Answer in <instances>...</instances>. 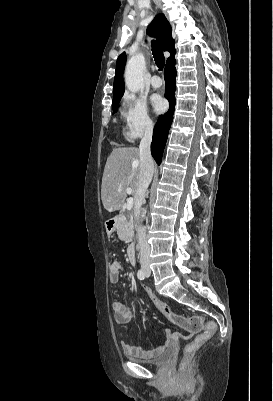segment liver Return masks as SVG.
I'll return each mask as SVG.
<instances>
[{"instance_id":"1","label":"liver","mask_w":273,"mask_h":401,"mask_svg":"<svg viewBox=\"0 0 273 401\" xmlns=\"http://www.w3.org/2000/svg\"><path fill=\"white\" fill-rule=\"evenodd\" d=\"M139 174V148L136 146L113 148L102 176L101 198L106 211L113 213L123 207L128 186L132 188L133 196L136 198Z\"/></svg>"}]
</instances>
